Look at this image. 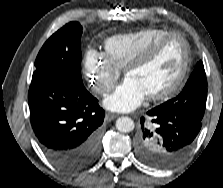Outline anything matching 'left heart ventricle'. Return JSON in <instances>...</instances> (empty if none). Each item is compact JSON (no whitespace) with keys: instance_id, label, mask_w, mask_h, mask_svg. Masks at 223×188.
Here are the masks:
<instances>
[{"instance_id":"obj_1","label":"left heart ventricle","mask_w":223,"mask_h":188,"mask_svg":"<svg viewBox=\"0 0 223 188\" xmlns=\"http://www.w3.org/2000/svg\"><path fill=\"white\" fill-rule=\"evenodd\" d=\"M183 60V43L179 38L172 37L147 62L130 71L127 77L134 80L147 96L155 94L176 80Z\"/></svg>"}]
</instances>
